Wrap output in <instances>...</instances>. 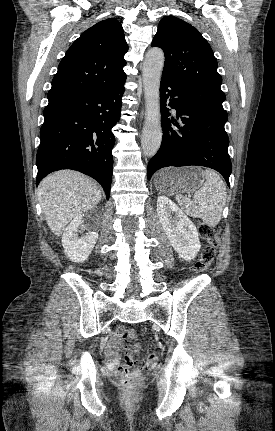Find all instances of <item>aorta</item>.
<instances>
[{"instance_id":"762f6f07","label":"aorta","mask_w":275,"mask_h":431,"mask_svg":"<svg viewBox=\"0 0 275 431\" xmlns=\"http://www.w3.org/2000/svg\"><path fill=\"white\" fill-rule=\"evenodd\" d=\"M164 53L160 48L147 51L143 62L142 77L145 94L146 116L141 145L144 155L154 156L162 141L160 113V80L164 66Z\"/></svg>"}]
</instances>
